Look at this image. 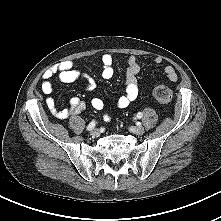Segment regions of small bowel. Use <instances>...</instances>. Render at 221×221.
I'll use <instances>...</instances> for the list:
<instances>
[{"mask_svg": "<svg viewBox=\"0 0 221 221\" xmlns=\"http://www.w3.org/2000/svg\"><path fill=\"white\" fill-rule=\"evenodd\" d=\"M154 62L155 64L159 65L163 62V59L161 57H156ZM100 64L102 67L103 78H111L114 74L112 56L110 54H103L100 57ZM126 64V90L125 93L117 100V106L121 109L127 108L129 104L137 98L139 92L137 78L140 73V66L136 57L133 55L129 56L127 58ZM163 71L169 81L175 82L178 80L177 72L172 66H164ZM54 75H57L59 80L65 83L83 80L86 83V89L88 91H92L95 88L94 80L86 74L76 70L74 68V63L70 60H67L61 62L57 66L47 70L44 73L42 90L45 94H51L53 92L52 77ZM46 105L51 114L58 119H66L72 115L80 114L85 109V103L77 96L70 99L68 108L58 110L56 108V101L53 97H48L46 99ZM91 105L96 110H102L104 108V102L98 97H95L91 100ZM103 119L105 121H110L111 116L108 113H105L103 115Z\"/></svg>", "mask_w": 221, "mask_h": 221, "instance_id": "c3829d8e", "label": "small bowel"}]
</instances>
